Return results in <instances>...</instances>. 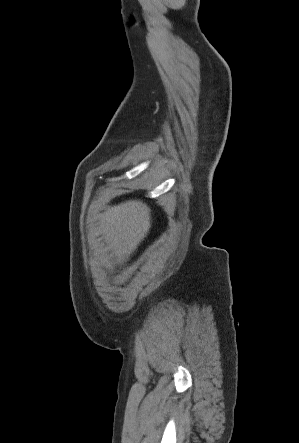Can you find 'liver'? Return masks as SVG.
Segmentation results:
<instances>
[{
    "mask_svg": "<svg viewBox=\"0 0 299 443\" xmlns=\"http://www.w3.org/2000/svg\"><path fill=\"white\" fill-rule=\"evenodd\" d=\"M150 208L140 200H130L108 207L99 217L98 235L110 254L108 266L122 263L138 247L151 228Z\"/></svg>",
    "mask_w": 299,
    "mask_h": 443,
    "instance_id": "6515ba94",
    "label": "liver"
}]
</instances>
